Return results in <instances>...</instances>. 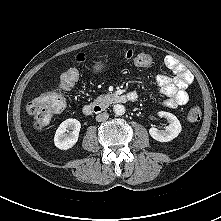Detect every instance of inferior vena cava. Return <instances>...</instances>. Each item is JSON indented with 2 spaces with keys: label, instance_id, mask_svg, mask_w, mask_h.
<instances>
[{
  "label": "inferior vena cava",
  "instance_id": "602c4592",
  "mask_svg": "<svg viewBox=\"0 0 221 221\" xmlns=\"http://www.w3.org/2000/svg\"><path fill=\"white\" fill-rule=\"evenodd\" d=\"M109 117V114L106 112L100 113L96 116V121L103 122L106 121Z\"/></svg>",
  "mask_w": 221,
  "mask_h": 221
}]
</instances>
